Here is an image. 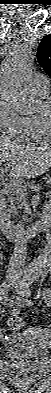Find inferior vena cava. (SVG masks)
Here are the masks:
<instances>
[{
  "mask_svg": "<svg viewBox=\"0 0 51 393\" xmlns=\"http://www.w3.org/2000/svg\"><path fill=\"white\" fill-rule=\"evenodd\" d=\"M15 216L18 215L17 208L14 207ZM18 239L16 240L12 257L9 261L7 273L10 275H18L22 273L25 265L26 253H27V240L25 238L24 225L20 221L17 226Z\"/></svg>",
  "mask_w": 51,
  "mask_h": 393,
  "instance_id": "obj_1",
  "label": "inferior vena cava"
}]
</instances>
